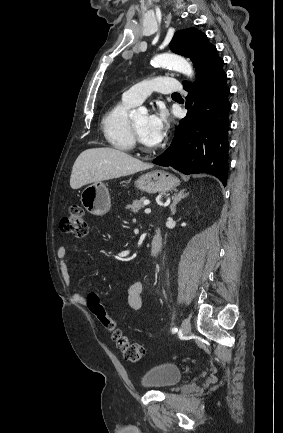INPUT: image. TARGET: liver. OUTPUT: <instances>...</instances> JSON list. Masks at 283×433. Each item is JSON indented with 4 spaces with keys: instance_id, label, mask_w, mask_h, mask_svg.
Returning a JSON list of instances; mask_svg holds the SVG:
<instances>
[{
    "instance_id": "6515ba94",
    "label": "liver",
    "mask_w": 283,
    "mask_h": 433,
    "mask_svg": "<svg viewBox=\"0 0 283 433\" xmlns=\"http://www.w3.org/2000/svg\"><path fill=\"white\" fill-rule=\"evenodd\" d=\"M152 166L153 164L142 162L139 158H133L127 152L116 150V148H108V146L87 148L80 152L72 166L70 186L80 188L89 182L119 178V176L134 174V172L146 170Z\"/></svg>"
}]
</instances>
